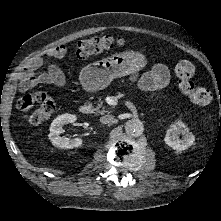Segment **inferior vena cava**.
I'll use <instances>...</instances> for the list:
<instances>
[{
	"label": "inferior vena cava",
	"mask_w": 221,
	"mask_h": 221,
	"mask_svg": "<svg viewBox=\"0 0 221 221\" xmlns=\"http://www.w3.org/2000/svg\"><path fill=\"white\" fill-rule=\"evenodd\" d=\"M113 119H114V116L108 114V115L100 117V122L102 124H109L113 121Z\"/></svg>",
	"instance_id": "602c4592"
}]
</instances>
